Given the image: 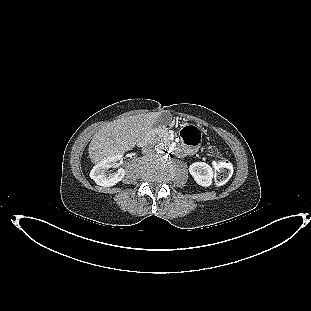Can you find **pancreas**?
<instances>
[{
  "label": "pancreas",
  "instance_id": "cf45deb5",
  "mask_svg": "<svg viewBox=\"0 0 311 311\" xmlns=\"http://www.w3.org/2000/svg\"><path fill=\"white\" fill-rule=\"evenodd\" d=\"M169 136V133L167 130L163 129L160 131V137H162L163 139L167 140Z\"/></svg>",
  "mask_w": 311,
  "mask_h": 311
}]
</instances>
